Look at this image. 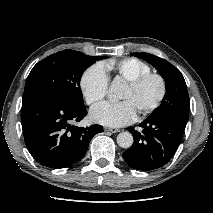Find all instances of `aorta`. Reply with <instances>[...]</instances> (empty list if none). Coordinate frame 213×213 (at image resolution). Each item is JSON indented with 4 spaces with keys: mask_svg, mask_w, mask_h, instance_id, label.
Masks as SVG:
<instances>
[{
    "mask_svg": "<svg viewBox=\"0 0 213 213\" xmlns=\"http://www.w3.org/2000/svg\"><path fill=\"white\" fill-rule=\"evenodd\" d=\"M121 90V83L118 80H114L109 87V97L116 99ZM134 142L133 136L130 132H121L117 136V144L122 148H129Z\"/></svg>",
    "mask_w": 213,
    "mask_h": 213,
    "instance_id": "762f6f07",
    "label": "aorta"
}]
</instances>
